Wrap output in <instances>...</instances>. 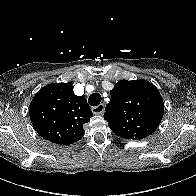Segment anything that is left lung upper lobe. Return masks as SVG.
I'll list each match as a JSON object with an SVG mask.
<instances>
[{"label": "left lung upper lobe", "mask_w": 196, "mask_h": 196, "mask_svg": "<svg viewBox=\"0 0 196 196\" xmlns=\"http://www.w3.org/2000/svg\"><path fill=\"white\" fill-rule=\"evenodd\" d=\"M104 119L117 135L140 140L161 123L164 103L158 89L146 80H120L110 91Z\"/></svg>", "instance_id": "obj_1"}]
</instances>
